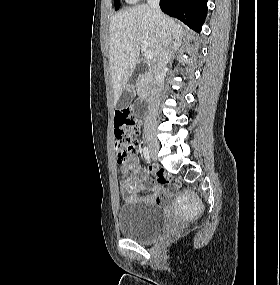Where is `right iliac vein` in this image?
I'll list each match as a JSON object with an SVG mask.
<instances>
[{"label":"right iliac vein","mask_w":280,"mask_h":285,"mask_svg":"<svg viewBox=\"0 0 280 285\" xmlns=\"http://www.w3.org/2000/svg\"><path fill=\"white\" fill-rule=\"evenodd\" d=\"M145 139H146V142L148 144L150 154H151L152 158L155 159L157 157V152L159 150L158 141L154 137L153 133H146Z\"/></svg>","instance_id":"obj_1"}]
</instances>
